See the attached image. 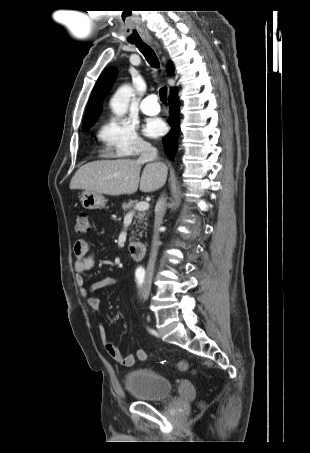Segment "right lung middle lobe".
<instances>
[{
    "instance_id": "1",
    "label": "right lung middle lobe",
    "mask_w": 310,
    "mask_h": 453,
    "mask_svg": "<svg viewBox=\"0 0 310 453\" xmlns=\"http://www.w3.org/2000/svg\"><path fill=\"white\" fill-rule=\"evenodd\" d=\"M89 127H90V125L82 126L83 129H87V128H89Z\"/></svg>"
}]
</instances>
